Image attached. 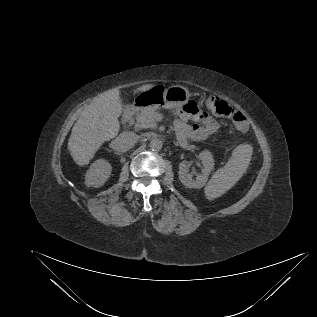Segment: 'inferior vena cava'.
<instances>
[{
    "label": "inferior vena cava",
    "instance_id": "1",
    "mask_svg": "<svg viewBox=\"0 0 317 317\" xmlns=\"http://www.w3.org/2000/svg\"><path fill=\"white\" fill-rule=\"evenodd\" d=\"M137 142V136L132 132H123L116 137L110 144V147L120 154L131 149Z\"/></svg>",
    "mask_w": 317,
    "mask_h": 317
}]
</instances>
